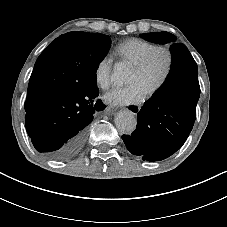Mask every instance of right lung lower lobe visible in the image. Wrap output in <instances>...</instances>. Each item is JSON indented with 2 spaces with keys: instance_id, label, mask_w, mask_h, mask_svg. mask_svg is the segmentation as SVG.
Listing matches in <instances>:
<instances>
[{
  "instance_id": "obj_1",
  "label": "right lung lower lobe",
  "mask_w": 227,
  "mask_h": 227,
  "mask_svg": "<svg viewBox=\"0 0 227 227\" xmlns=\"http://www.w3.org/2000/svg\"><path fill=\"white\" fill-rule=\"evenodd\" d=\"M99 90L71 94L64 90L44 97L31 112L26 113V130L38 152L47 158L65 161L82 149L88 125L95 111L105 106L94 104Z\"/></svg>"
}]
</instances>
